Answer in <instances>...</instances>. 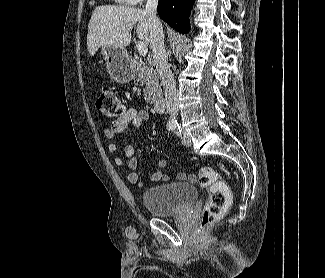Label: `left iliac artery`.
I'll list each match as a JSON object with an SVG mask.
<instances>
[{
    "instance_id": "1",
    "label": "left iliac artery",
    "mask_w": 325,
    "mask_h": 278,
    "mask_svg": "<svg viewBox=\"0 0 325 278\" xmlns=\"http://www.w3.org/2000/svg\"><path fill=\"white\" fill-rule=\"evenodd\" d=\"M174 132L178 135L181 136V129L180 126L177 124L174 128Z\"/></svg>"
}]
</instances>
